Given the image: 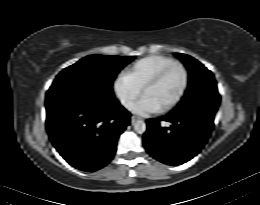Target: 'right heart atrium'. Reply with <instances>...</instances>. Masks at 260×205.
Listing matches in <instances>:
<instances>
[{
  "instance_id": "obj_1",
  "label": "right heart atrium",
  "mask_w": 260,
  "mask_h": 205,
  "mask_svg": "<svg viewBox=\"0 0 260 205\" xmlns=\"http://www.w3.org/2000/svg\"><path fill=\"white\" fill-rule=\"evenodd\" d=\"M114 92L125 107H130L140 94V89L125 76L118 77L113 85Z\"/></svg>"
}]
</instances>
